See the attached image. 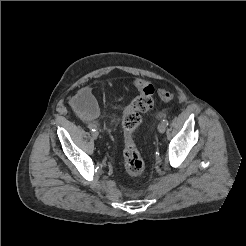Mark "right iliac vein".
Returning <instances> with one entry per match:
<instances>
[{"mask_svg":"<svg viewBox=\"0 0 246 246\" xmlns=\"http://www.w3.org/2000/svg\"><path fill=\"white\" fill-rule=\"evenodd\" d=\"M98 135H99V132L97 130H95V131L92 132V137L94 139H97Z\"/></svg>","mask_w":246,"mask_h":246,"instance_id":"obj_1","label":"right iliac vein"}]
</instances>
